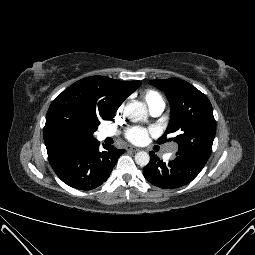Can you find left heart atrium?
Wrapping results in <instances>:
<instances>
[{
  "instance_id": "left-heart-atrium-1",
  "label": "left heart atrium",
  "mask_w": 255,
  "mask_h": 255,
  "mask_svg": "<svg viewBox=\"0 0 255 255\" xmlns=\"http://www.w3.org/2000/svg\"><path fill=\"white\" fill-rule=\"evenodd\" d=\"M150 131L141 127H132L127 130L126 138L134 144H143L148 140Z\"/></svg>"
}]
</instances>
